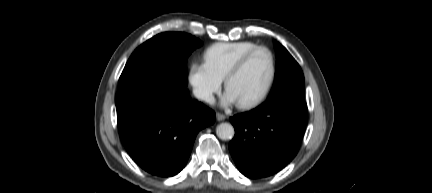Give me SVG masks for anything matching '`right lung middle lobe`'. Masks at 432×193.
Masks as SVG:
<instances>
[{
    "label": "right lung middle lobe",
    "mask_w": 432,
    "mask_h": 193,
    "mask_svg": "<svg viewBox=\"0 0 432 193\" xmlns=\"http://www.w3.org/2000/svg\"><path fill=\"white\" fill-rule=\"evenodd\" d=\"M201 45L200 40L186 33L166 32L154 36L133 52L118 88L143 80H158L175 89L187 90V58Z\"/></svg>",
    "instance_id": "1"
}]
</instances>
